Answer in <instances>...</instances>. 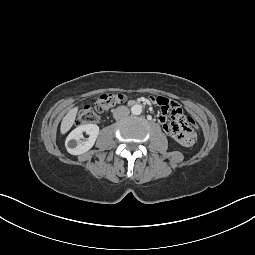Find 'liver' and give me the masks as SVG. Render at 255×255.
Listing matches in <instances>:
<instances>
[{"instance_id":"obj_1","label":"liver","mask_w":255,"mask_h":255,"mask_svg":"<svg viewBox=\"0 0 255 255\" xmlns=\"http://www.w3.org/2000/svg\"><path fill=\"white\" fill-rule=\"evenodd\" d=\"M78 107H74L68 111V113L63 117L60 132L61 134H65L68 132L74 124L76 115H77Z\"/></svg>"}]
</instances>
